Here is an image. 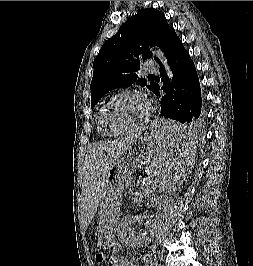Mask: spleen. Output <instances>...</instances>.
I'll use <instances>...</instances> for the list:
<instances>
[{
	"label": "spleen",
	"instance_id": "3e777b00",
	"mask_svg": "<svg viewBox=\"0 0 253 266\" xmlns=\"http://www.w3.org/2000/svg\"><path fill=\"white\" fill-rule=\"evenodd\" d=\"M157 132H168V138H161L154 150V160H146L144 178L134 183L135 190H149L158 187L171 191L181 187L187 169L191 168L197 146L193 138L194 123H171L169 117H162L157 123Z\"/></svg>",
	"mask_w": 253,
	"mask_h": 266
}]
</instances>
